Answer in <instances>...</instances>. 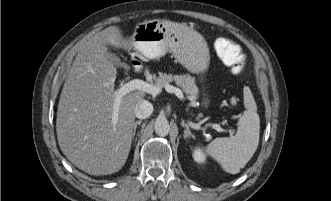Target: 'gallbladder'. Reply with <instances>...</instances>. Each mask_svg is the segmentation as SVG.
Segmentation results:
<instances>
[{
	"label": "gallbladder",
	"mask_w": 331,
	"mask_h": 201,
	"mask_svg": "<svg viewBox=\"0 0 331 201\" xmlns=\"http://www.w3.org/2000/svg\"><path fill=\"white\" fill-rule=\"evenodd\" d=\"M105 57L108 58L116 67L125 66V64L120 61L119 57L115 53L111 52L110 50L106 51Z\"/></svg>",
	"instance_id": "bac80fb5"
}]
</instances>
